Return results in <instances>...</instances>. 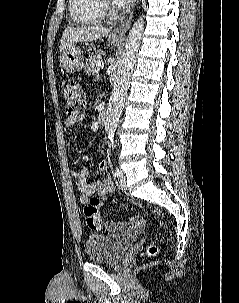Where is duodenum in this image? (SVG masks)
Here are the masks:
<instances>
[{"label":"duodenum","instance_id":"1","mask_svg":"<svg viewBox=\"0 0 239 303\" xmlns=\"http://www.w3.org/2000/svg\"><path fill=\"white\" fill-rule=\"evenodd\" d=\"M98 123L100 125H104L106 123V111L104 109H100L98 112Z\"/></svg>","mask_w":239,"mask_h":303}]
</instances>
